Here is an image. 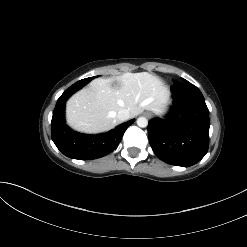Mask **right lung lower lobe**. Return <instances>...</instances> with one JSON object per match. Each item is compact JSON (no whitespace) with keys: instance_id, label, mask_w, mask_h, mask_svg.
<instances>
[{"instance_id":"obj_1","label":"right lung lower lobe","mask_w":247,"mask_h":247,"mask_svg":"<svg viewBox=\"0 0 247 247\" xmlns=\"http://www.w3.org/2000/svg\"><path fill=\"white\" fill-rule=\"evenodd\" d=\"M85 85L80 81L76 82L57 100L51 121V136L57 148L67 157L92 160L112 152L120 143L126 129L133 124L134 119L98 135H86L71 130L65 124V103L74 92Z\"/></svg>"}]
</instances>
